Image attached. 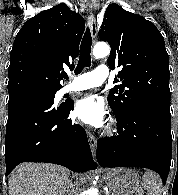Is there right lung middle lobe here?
<instances>
[{"label":"right lung middle lobe","mask_w":178,"mask_h":195,"mask_svg":"<svg viewBox=\"0 0 178 195\" xmlns=\"http://www.w3.org/2000/svg\"><path fill=\"white\" fill-rule=\"evenodd\" d=\"M55 93L56 91L54 90H31L13 97H9V101L17 97H28V98H35L41 100H53Z\"/></svg>","instance_id":"right-lung-middle-lobe-1"}]
</instances>
